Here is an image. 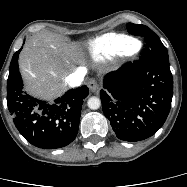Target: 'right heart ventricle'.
Segmentation results:
<instances>
[{
  "mask_svg": "<svg viewBox=\"0 0 187 187\" xmlns=\"http://www.w3.org/2000/svg\"><path fill=\"white\" fill-rule=\"evenodd\" d=\"M138 40L121 34H106L90 44V52L97 60H110L117 56L131 55L137 51Z\"/></svg>",
  "mask_w": 187,
  "mask_h": 187,
  "instance_id": "e07e8e85",
  "label": "right heart ventricle"
}]
</instances>
